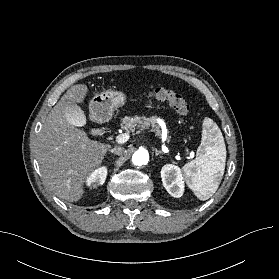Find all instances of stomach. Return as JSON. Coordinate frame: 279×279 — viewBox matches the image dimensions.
Instances as JSON below:
<instances>
[{"label": "stomach", "instance_id": "0dacf381", "mask_svg": "<svg viewBox=\"0 0 279 279\" xmlns=\"http://www.w3.org/2000/svg\"><path fill=\"white\" fill-rule=\"evenodd\" d=\"M127 101L125 93L116 90H106L97 94L90 101V117L92 120L104 123L108 122L114 111Z\"/></svg>", "mask_w": 279, "mask_h": 279}]
</instances>
